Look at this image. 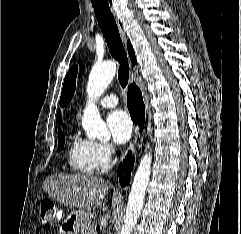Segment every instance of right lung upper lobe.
Listing matches in <instances>:
<instances>
[{
  "instance_id": "cb5924a9",
  "label": "right lung upper lobe",
  "mask_w": 241,
  "mask_h": 234,
  "mask_svg": "<svg viewBox=\"0 0 241 234\" xmlns=\"http://www.w3.org/2000/svg\"><path fill=\"white\" fill-rule=\"evenodd\" d=\"M128 53H129V56H130V59H131V62L132 64H135L136 63V57H135V53H134V50L130 44V42L128 41ZM58 121L62 124L63 127L66 128V126L63 124L62 120H61V114H60V111L58 112ZM60 131V130H59Z\"/></svg>"
}]
</instances>
